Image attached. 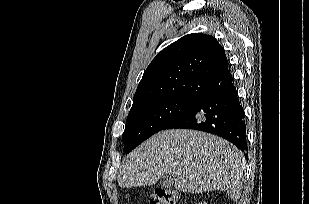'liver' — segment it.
<instances>
[{
    "instance_id": "6515ba94",
    "label": "liver",
    "mask_w": 309,
    "mask_h": 204,
    "mask_svg": "<svg viewBox=\"0 0 309 204\" xmlns=\"http://www.w3.org/2000/svg\"><path fill=\"white\" fill-rule=\"evenodd\" d=\"M245 158L233 144L196 130L161 131L132 151L119 170L121 188L154 185L171 175L175 189L202 193L221 190L237 201L243 188Z\"/></svg>"
}]
</instances>
